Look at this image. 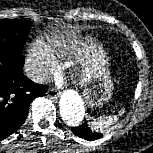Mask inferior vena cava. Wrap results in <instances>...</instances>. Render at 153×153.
Returning <instances> with one entry per match:
<instances>
[{"label":"inferior vena cava","mask_w":153,"mask_h":153,"mask_svg":"<svg viewBox=\"0 0 153 153\" xmlns=\"http://www.w3.org/2000/svg\"><path fill=\"white\" fill-rule=\"evenodd\" d=\"M25 72L27 77L35 83L42 84L50 81V76L40 69L26 67Z\"/></svg>","instance_id":"obj_1"}]
</instances>
